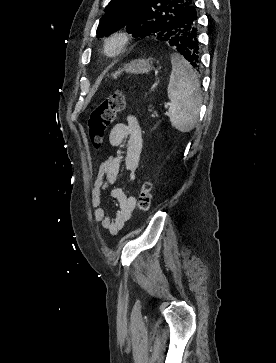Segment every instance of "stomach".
<instances>
[{
	"label": "stomach",
	"mask_w": 276,
	"mask_h": 363,
	"mask_svg": "<svg viewBox=\"0 0 276 363\" xmlns=\"http://www.w3.org/2000/svg\"><path fill=\"white\" fill-rule=\"evenodd\" d=\"M152 69L151 63L145 59L134 60L126 65L123 68L119 69L113 75L114 78L122 74L123 72L130 74H144L149 73Z\"/></svg>",
	"instance_id": "0dacf381"
}]
</instances>
